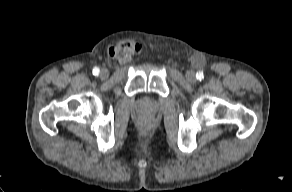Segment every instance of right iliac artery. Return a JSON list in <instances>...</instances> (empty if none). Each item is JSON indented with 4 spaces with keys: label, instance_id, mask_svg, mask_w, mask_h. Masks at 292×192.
<instances>
[{
    "label": "right iliac artery",
    "instance_id": "1",
    "mask_svg": "<svg viewBox=\"0 0 292 192\" xmlns=\"http://www.w3.org/2000/svg\"><path fill=\"white\" fill-rule=\"evenodd\" d=\"M99 72H100V70H99L98 67H95V68L93 69V74H94L95 76H97V75L99 74Z\"/></svg>",
    "mask_w": 292,
    "mask_h": 192
}]
</instances>
